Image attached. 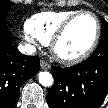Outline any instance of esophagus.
<instances>
[{
	"label": "esophagus",
	"mask_w": 108,
	"mask_h": 108,
	"mask_svg": "<svg viewBox=\"0 0 108 108\" xmlns=\"http://www.w3.org/2000/svg\"><path fill=\"white\" fill-rule=\"evenodd\" d=\"M40 65L43 70H49L51 68L50 64L45 60H41Z\"/></svg>",
	"instance_id": "esophagus-1"
}]
</instances>
